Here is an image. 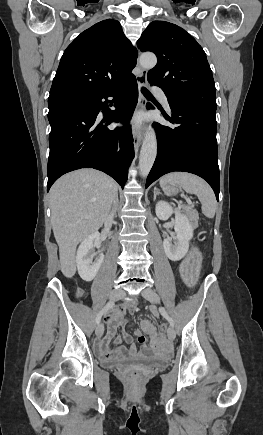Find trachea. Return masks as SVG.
I'll use <instances>...</instances> for the list:
<instances>
[{
  "label": "trachea",
  "instance_id": "1",
  "mask_svg": "<svg viewBox=\"0 0 263 435\" xmlns=\"http://www.w3.org/2000/svg\"><path fill=\"white\" fill-rule=\"evenodd\" d=\"M141 92L144 94V96H146V97H152V94L145 88V87H142L141 88Z\"/></svg>",
  "mask_w": 263,
  "mask_h": 435
}]
</instances>
